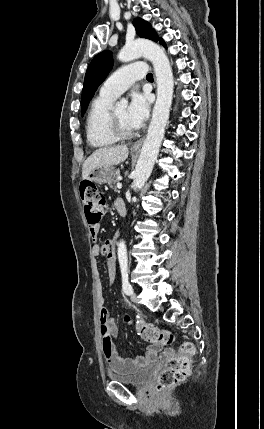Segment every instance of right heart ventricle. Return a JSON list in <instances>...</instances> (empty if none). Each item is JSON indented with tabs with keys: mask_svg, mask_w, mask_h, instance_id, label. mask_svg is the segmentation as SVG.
<instances>
[{
	"mask_svg": "<svg viewBox=\"0 0 264 429\" xmlns=\"http://www.w3.org/2000/svg\"><path fill=\"white\" fill-rule=\"evenodd\" d=\"M115 97L99 94L91 103L86 118V136L94 148H105L118 142L109 128V113Z\"/></svg>",
	"mask_w": 264,
	"mask_h": 429,
	"instance_id": "e07e8e85",
	"label": "right heart ventricle"
}]
</instances>
